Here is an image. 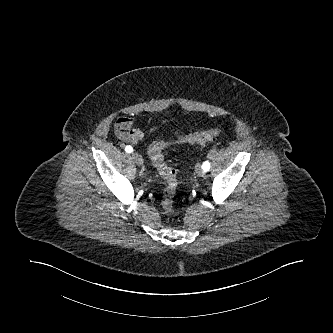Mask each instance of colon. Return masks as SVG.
<instances>
[{"label":"colon","instance_id":"5ec220e1","mask_svg":"<svg viewBox=\"0 0 333 333\" xmlns=\"http://www.w3.org/2000/svg\"><path fill=\"white\" fill-rule=\"evenodd\" d=\"M220 135L217 128L207 131L180 135L174 140H156L149 147V156L160 176L166 181V188L163 191L162 208L170 213L173 211L174 197L176 194L178 180L174 168L168 166L164 160L163 150L168 145L179 142L187 144H205Z\"/></svg>","mask_w":333,"mask_h":333}]
</instances>
